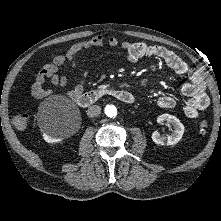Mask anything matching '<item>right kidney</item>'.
<instances>
[{"instance_id": "right-kidney-1", "label": "right kidney", "mask_w": 221, "mask_h": 221, "mask_svg": "<svg viewBox=\"0 0 221 221\" xmlns=\"http://www.w3.org/2000/svg\"><path fill=\"white\" fill-rule=\"evenodd\" d=\"M43 138L48 143H57L62 140L61 137L49 129L43 133Z\"/></svg>"}]
</instances>
